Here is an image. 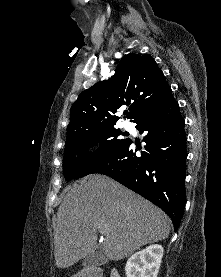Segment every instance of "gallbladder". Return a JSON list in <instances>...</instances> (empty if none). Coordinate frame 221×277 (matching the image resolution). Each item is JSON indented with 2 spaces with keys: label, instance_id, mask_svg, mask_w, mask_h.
I'll use <instances>...</instances> for the list:
<instances>
[{
  "label": "gallbladder",
  "instance_id": "bac80fb5",
  "mask_svg": "<svg viewBox=\"0 0 221 277\" xmlns=\"http://www.w3.org/2000/svg\"><path fill=\"white\" fill-rule=\"evenodd\" d=\"M108 262V259L103 255L101 251H96L86 257L83 261V266H98Z\"/></svg>",
  "mask_w": 221,
  "mask_h": 277
}]
</instances>
